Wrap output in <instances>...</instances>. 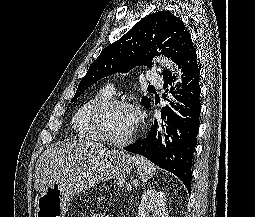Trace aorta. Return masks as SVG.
Segmentation results:
<instances>
[{"instance_id":"762f6f07","label":"aorta","mask_w":255,"mask_h":217,"mask_svg":"<svg viewBox=\"0 0 255 217\" xmlns=\"http://www.w3.org/2000/svg\"><path fill=\"white\" fill-rule=\"evenodd\" d=\"M155 62L158 63L160 66L165 67L167 70L171 71L175 76L179 78V81L181 82L180 79V71L177 70V66L168 58L165 57H158L155 59Z\"/></svg>"}]
</instances>
